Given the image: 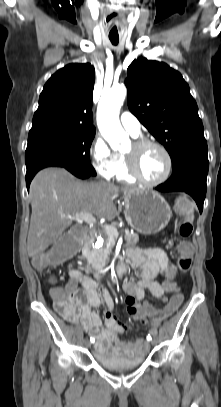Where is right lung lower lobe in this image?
<instances>
[{"instance_id": "98d812e1", "label": "right lung lower lobe", "mask_w": 221, "mask_h": 407, "mask_svg": "<svg viewBox=\"0 0 221 407\" xmlns=\"http://www.w3.org/2000/svg\"><path fill=\"white\" fill-rule=\"evenodd\" d=\"M51 166H55V167H64L66 168L68 171H70L73 175L81 178V179H86L90 176H92L93 174L90 173H86L83 172L81 170H78L74 167H70L69 165H67L65 162L59 160V159H54V158H44V159H40L36 162H34L33 164H31L30 166L27 167V174H26V185L29 191V186L31 183V180L33 179V177L35 176V174L45 168V167H51Z\"/></svg>"}]
</instances>
